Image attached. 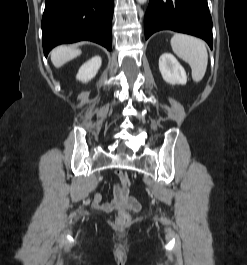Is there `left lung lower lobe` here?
Masks as SVG:
<instances>
[{"mask_svg":"<svg viewBox=\"0 0 247 265\" xmlns=\"http://www.w3.org/2000/svg\"><path fill=\"white\" fill-rule=\"evenodd\" d=\"M145 38L173 30L204 39L212 48V19L207 0H150L144 17Z\"/></svg>","mask_w":247,"mask_h":265,"instance_id":"0a47b994","label":"left lung lower lobe"}]
</instances>
